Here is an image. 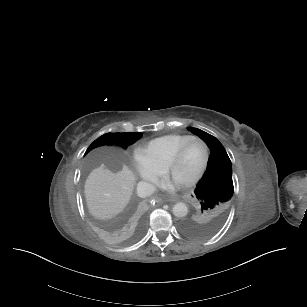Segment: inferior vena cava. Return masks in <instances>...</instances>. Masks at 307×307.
I'll use <instances>...</instances> for the list:
<instances>
[{
    "label": "inferior vena cava",
    "instance_id": "602c4592",
    "mask_svg": "<svg viewBox=\"0 0 307 307\" xmlns=\"http://www.w3.org/2000/svg\"><path fill=\"white\" fill-rule=\"evenodd\" d=\"M156 191V188L153 184L150 183H146V182H139L137 184V196L141 197V198H145L148 196H151L152 194H154Z\"/></svg>",
    "mask_w": 307,
    "mask_h": 307
}]
</instances>
